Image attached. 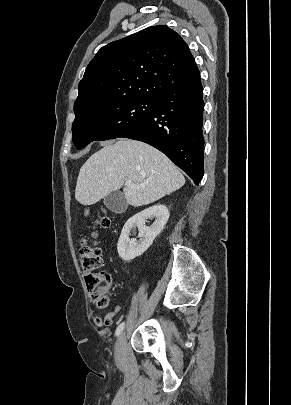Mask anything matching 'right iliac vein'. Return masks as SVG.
Instances as JSON below:
<instances>
[{"label": "right iliac vein", "instance_id": "obj_1", "mask_svg": "<svg viewBox=\"0 0 291 405\" xmlns=\"http://www.w3.org/2000/svg\"><path fill=\"white\" fill-rule=\"evenodd\" d=\"M127 340L125 333H121L115 344V358L119 363L125 359Z\"/></svg>", "mask_w": 291, "mask_h": 405}]
</instances>
